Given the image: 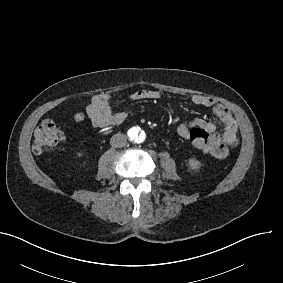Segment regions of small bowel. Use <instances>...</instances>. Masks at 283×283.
<instances>
[{
    "label": "small bowel",
    "instance_id": "1",
    "mask_svg": "<svg viewBox=\"0 0 283 283\" xmlns=\"http://www.w3.org/2000/svg\"><path fill=\"white\" fill-rule=\"evenodd\" d=\"M163 93L158 90L138 89L129 94L128 98L133 101H147L162 99ZM191 101L195 105L204 106L212 109L216 119L223 126L222 133L217 132L216 120L195 119L189 124H180L177 127V133L182 138H186L187 130L190 127L198 126L204 128L208 133L214 136V147L207 155L216 159H225L231 148L236 147L239 142L238 126L234 115L229 109L211 96L195 94ZM112 94L99 93L92 97L90 104L86 108V113L92 124L97 128L117 127L127 118L123 111L112 110Z\"/></svg>",
    "mask_w": 283,
    "mask_h": 283
}]
</instances>
